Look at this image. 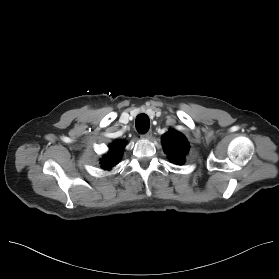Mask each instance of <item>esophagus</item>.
Here are the masks:
<instances>
[{"instance_id": "esophagus-1", "label": "esophagus", "mask_w": 279, "mask_h": 279, "mask_svg": "<svg viewBox=\"0 0 279 279\" xmlns=\"http://www.w3.org/2000/svg\"><path fill=\"white\" fill-rule=\"evenodd\" d=\"M151 137H152V131L151 130H149L148 132H146L145 134L140 136L141 139H150Z\"/></svg>"}]
</instances>
